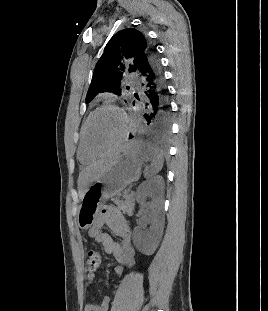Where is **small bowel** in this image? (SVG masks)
Returning a JSON list of instances; mask_svg holds the SVG:
<instances>
[{"label": "small bowel", "instance_id": "1", "mask_svg": "<svg viewBox=\"0 0 268 311\" xmlns=\"http://www.w3.org/2000/svg\"><path fill=\"white\" fill-rule=\"evenodd\" d=\"M107 225L118 240L104 229ZM88 237L100 243L104 252L114 258L117 265L114 268L116 275H121L126 269H130L135 263V252L131 242V230L123 214L114 206L105 207L95 224L88 232ZM95 274L89 272L86 275V283L92 286ZM110 297L104 296L100 304L87 303L84 311H108Z\"/></svg>", "mask_w": 268, "mask_h": 311}]
</instances>
